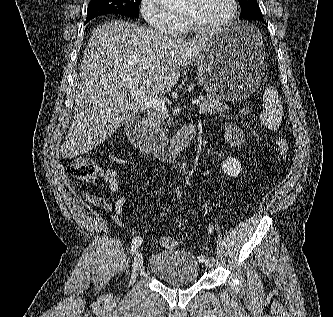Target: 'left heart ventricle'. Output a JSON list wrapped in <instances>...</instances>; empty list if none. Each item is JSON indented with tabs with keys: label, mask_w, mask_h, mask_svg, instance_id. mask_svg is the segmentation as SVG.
<instances>
[{
	"label": "left heart ventricle",
	"mask_w": 333,
	"mask_h": 317,
	"mask_svg": "<svg viewBox=\"0 0 333 317\" xmlns=\"http://www.w3.org/2000/svg\"><path fill=\"white\" fill-rule=\"evenodd\" d=\"M229 10V0H183L178 13L197 26L207 28L220 23Z\"/></svg>",
	"instance_id": "1"
}]
</instances>
